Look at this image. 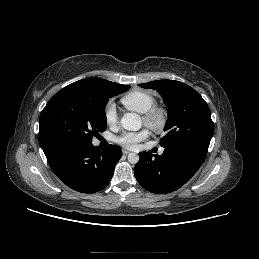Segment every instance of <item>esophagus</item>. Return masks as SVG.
<instances>
[{
	"label": "esophagus",
	"instance_id": "1",
	"mask_svg": "<svg viewBox=\"0 0 259 259\" xmlns=\"http://www.w3.org/2000/svg\"><path fill=\"white\" fill-rule=\"evenodd\" d=\"M122 153H123L124 155H128V154L130 153V151L123 149V150H122Z\"/></svg>",
	"mask_w": 259,
	"mask_h": 259
}]
</instances>
